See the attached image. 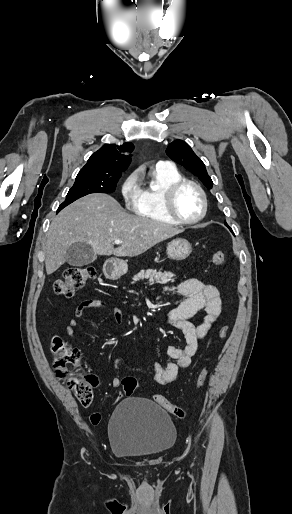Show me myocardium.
Segmentation results:
<instances>
[{"label":"myocardium","instance_id":"1","mask_svg":"<svg viewBox=\"0 0 292 514\" xmlns=\"http://www.w3.org/2000/svg\"><path fill=\"white\" fill-rule=\"evenodd\" d=\"M190 186L193 187L199 194L201 201V210L199 215L192 220H184L182 219L177 212L175 211V197L177 192L185 187ZM160 201L163 208V211L168 216V218L176 224L180 225H193L200 222L206 215L207 212V199L203 188L196 182L186 179H180L179 181L171 184L170 186L164 188L160 192Z\"/></svg>","mask_w":292,"mask_h":514}]
</instances>
